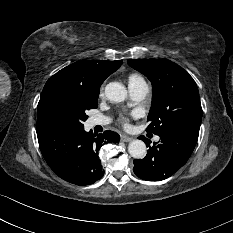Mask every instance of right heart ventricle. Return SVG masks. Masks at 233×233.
<instances>
[{
	"label": "right heart ventricle",
	"mask_w": 233,
	"mask_h": 233,
	"mask_svg": "<svg viewBox=\"0 0 233 233\" xmlns=\"http://www.w3.org/2000/svg\"><path fill=\"white\" fill-rule=\"evenodd\" d=\"M128 84L139 85V84H146V83L141 75L137 73H132L128 76Z\"/></svg>",
	"instance_id": "1"
}]
</instances>
